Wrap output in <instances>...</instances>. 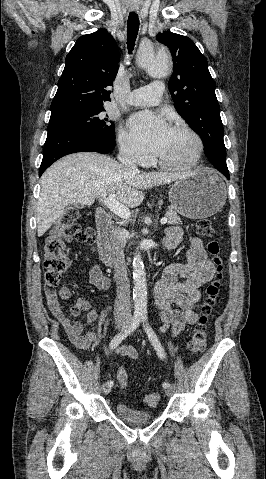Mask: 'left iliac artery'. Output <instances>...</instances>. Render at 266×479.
Masks as SVG:
<instances>
[{
	"label": "left iliac artery",
	"mask_w": 266,
	"mask_h": 479,
	"mask_svg": "<svg viewBox=\"0 0 266 479\" xmlns=\"http://www.w3.org/2000/svg\"><path fill=\"white\" fill-rule=\"evenodd\" d=\"M141 316H142V321H143V323H145L144 326H145V331H146V333H147V335H148V338L150 339L152 345L154 346V348H155V350H156L158 356H159L161 359L164 358V355H165L164 349H163V347H162V345H161V343H160L158 337L156 336L155 332H154L153 329L150 327V325L147 323V319H148V318H147V315L144 313V314H142ZM162 386H163V388L166 389V388L170 387L171 385H170L168 382H164Z\"/></svg>",
	"instance_id": "1"
}]
</instances>
